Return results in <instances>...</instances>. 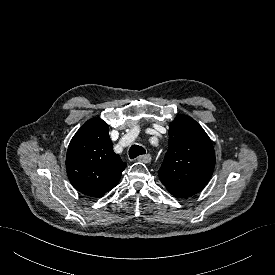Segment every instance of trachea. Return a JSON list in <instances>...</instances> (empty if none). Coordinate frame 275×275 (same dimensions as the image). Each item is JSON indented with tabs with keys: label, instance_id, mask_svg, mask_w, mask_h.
Segmentation results:
<instances>
[{
	"label": "trachea",
	"instance_id": "1",
	"mask_svg": "<svg viewBox=\"0 0 275 275\" xmlns=\"http://www.w3.org/2000/svg\"><path fill=\"white\" fill-rule=\"evenodd\" d=\"M145 149L139 145H132L129 149V156L131 159L136 158L139 155L145 154Z\"/></svg>",
	"mask_w": 275,
	"mask_h": 275
}]
</instances>
